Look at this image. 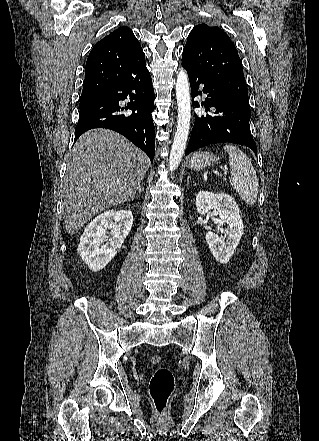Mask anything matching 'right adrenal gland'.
<instances>
[{
  "instance_id": "obj_1",
  "label": "right adrenal gland",
  "mask_w": 319,
  "mask_h": 441,
  "mask_svg": "<svg viewBox=\"0 0 319 441\" xmlns=\"http://www.w3.org/2000/svg\"><path fill=\"white\" fill-rule=\"evenodd\" d=\"M139 192V193H141L142 192V188H141V184L140 183H138V186H137V189L135 190V192H134V194H133V198H135V196H136V192Z\"/></svg>"
}]
</instances>
